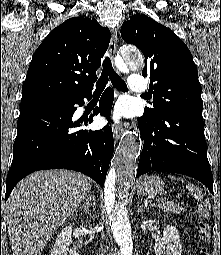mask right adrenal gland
I'll return each mask as SVG.
<instances>
[{
	"mask_svg": "<svg viewBox=\"0 0 221 255\" xmlns=\"http://www.w3.org/2000/svg\"><path fill=\"white\" fill-rule=\"evenodd\" d=\"M89 200H90V198L86 199V201L84 202V204H81V205H80V207H81L82 209H84L85 214H90V211H91L90 209H91V207H93V209H94V204L90 203Z\"/></svg>",
	"mask_w": 221,
	"mask_h": 255,
	"instance_id": "1",
	"label": "right adrenal gland"
}]
</instances>
